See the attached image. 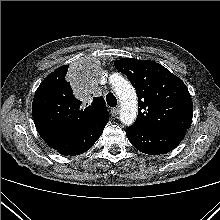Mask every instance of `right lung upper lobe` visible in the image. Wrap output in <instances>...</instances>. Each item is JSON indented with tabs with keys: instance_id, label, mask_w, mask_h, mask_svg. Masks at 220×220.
Instances as JSON below:
<instances>
[{
	"instance_id": "cb5924a9",
	"label": "right lung upper lobe",
	"mask_w": 220,
	"mask_h": 220,
	"mask_svg": "<svg viewBox=\"0 0 220 220\" xmlns=\"http://www.w3.org/2000/svg\"><path fill=\"white\" fill-rule=\"evenodd\" d=\"M67 71L68 65L57 68L35 92L32 115L40 135L72 131L100 116H109L102 96L94 97L89 106L82 107L67 81Z\"/></svg>"
}]
</instances>
